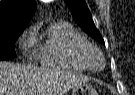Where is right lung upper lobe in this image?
I'll return each mask as SVG.
<instances>
[{"instance_id":"1","label":"right lung upper lobe","mask_w":135,"mask_h":95,"mask_svg":"<svg viewBox=\"0 0 135 95\" xmlns=\"http://www.w3.org/2000/svg\"><path fill=\"white\" fill-rule=\"evenodd\" d=\"M36 10L33 0H1L0 35L25 29Z\"/></svg>"}]
</instances>
